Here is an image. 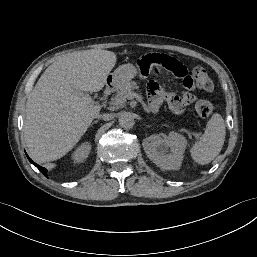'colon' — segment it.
Returning <instances> with one entry per match:
<instances>
[{
	"instance_id": "colon-1",
	"label": "colon",
	"mask_w": 257,
	"mask_h": 257,
	"mask_svg": "<svg viewBox=\"0 0 257 257\" xmlns=\"http://www.w3.org/2000/svg\"><path fill=\"white\" fill-rule=\"evenodd\" d=\"M181 63V62H180ZM182 64V63H181ZM183 65V64H182ZM183 67H185L183 65ZM186 68V67H185ZM194 77L195 87L204 91H211L213 89V82L208 75L205 68L202 66L194 67L192 71ZM195 109L197 114L202 118H209L215 111V104L208 100H200L196 103Z\"/></svg>"
}]
</instances>
